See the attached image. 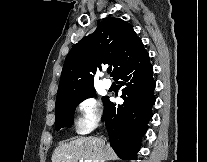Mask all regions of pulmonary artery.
<instances>
[{
  "label": "pulmonary artery",
  "mask_w": 207,
  "mask_h": 162,
  "mask_svg": "<svg viewBox=\"0 0 207 162\" xmlns=\"http://www.w3.org/2000/svg\"><path fill=\"white\" fill-rule=\"evenodd\" d=\"M111 86H112V82H111L109 79H105V80L103 81V87H104L105 89H110Z\"/></svg>",
  "instance_id": "pulmonary-artery-1"
}]
</instances>
